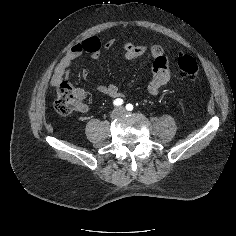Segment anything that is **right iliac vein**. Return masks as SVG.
<instances>
[{
    "instance_id": "63e3f726",
    "label": "right iliac vein",
    "mask_w": 236,
    "mask_h": 236,
    "mask_svg": "<svg viewBox=\"0 0 236 236\" xmlns=\"http://www.w3.org/2000/svg\"><path fill=\"white\" fill-rule=\"evenodd\" d=\"M122 114H123V108H115V109L111 112L110 116H111L112 119H116V118H118L119 116H121Z\"/></svg>"
}]
</instances>
